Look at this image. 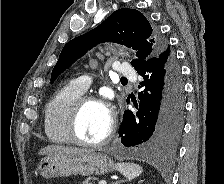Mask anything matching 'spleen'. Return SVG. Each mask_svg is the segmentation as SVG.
Returning <instances> with one entry per match:
<instances>
[{
  "mask_svg": "<svg viewBox=\"0 0 224 184\" xmlns=\"http://www.w3.org/2000/svg\"><path fill=\"white\" fill-rule=\"evenodd\" d=\"M116 169L128 179H134L142 173V167L135 163H117Z\"/></svg>",
  "mask_w": 224,
  "mask_h": 184,
  "instance_id": "3e777b00",
  "label": "spleen"
}]
</instances>
